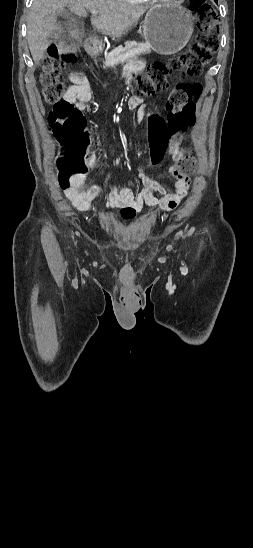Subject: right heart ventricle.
Returning a JSON list of instances; mask_svg holds the SVG:
<instances>
[{
  "mask_svg": "<svg viewBox=\"0 0 253 548\" xmlns=\"http://www.w3.org/2000/svg\"><path fill=\"white\" fill-rule=\"evenodd\" d=\"M119 1L127 4H145L149 2L150 0H119Z\"/></svg>",
  "mask_w": 253,
  "mask_h": 548,
  "instance_id": "1",
  "label": "right heart ventricle"
}]
</instances>
